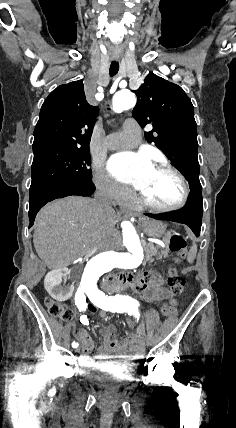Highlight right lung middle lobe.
Returning <instances> with one entry per match:
<instances>
[{
  "label": "right lung middle lobe",
  "mask_w": 236,
  "mask_h": 428,
  "mask_svg": "<svg viewBox=\"0 0 236 428\" xmlns=\"http://www.w3.org/2000/svg\"><path fill=\"white\" fill-rule=\"evenodd\" d=\"M30 191L58 183H90L89 146L44 147L33 150Z\"/></svg>",
  "instance_id": "obj_1"
}]
</instances>
